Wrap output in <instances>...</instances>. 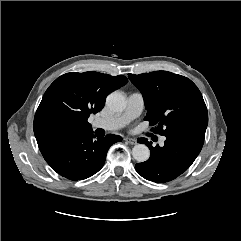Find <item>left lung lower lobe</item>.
Listing matches in <instances>:
<instances>
[{
  "label": "left lung lower lobe",
  "instance_id": "left-lung-lower-lobe-1",
  "mask_svg": "<svg viewBox=\"0 0 241 241\" xmlns=\"http://www.w3.org/2000/svg\"><path fill=\"white\" fill-rule=\"evenodd\" d=\"M204 132H189L167 136L165 145L152 146V142L144 139L150 148V158L135 165V170L145 179L166 183L184 173L200 153L204 143Z\"/></svg>",
  "mask_w": 241,
  "mask_h": 241
}]
</instances>
